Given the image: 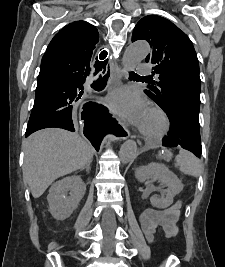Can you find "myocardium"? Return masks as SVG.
<instances>
[{
	"mask_svg": "<svg viewBox=\"0 0 225 267\" xmlns=\"http://www.w3.org/2000/svg\"><path fill=\"white\" fill-rule=\"evenodd\" d=\"M148 110L157 114L160 117V119L162 121V126L158 131L153 132V133L146 132L141 128H139V132L147 140L162 139L165 135H167V133L170 130V127H171L170 119H169L167 113L158 106H151V107H149Z\"/></svg>",
	"mask_w": 225,
	"mask_h": 267,
	"instance_id": "1",
	"label": "myocardium"
}]
</instances>
